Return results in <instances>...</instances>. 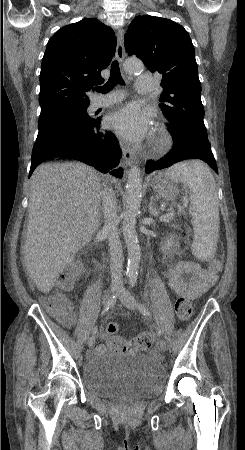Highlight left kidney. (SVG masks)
Returning <instances> with one entry per match:
<instances>
[{
  "label": "left kidney",
  "mask_w": 245,
  "mask_h": 450,
  "mask_svg": "<svg viewBox=\"0 0 245 450\" xmlns=\"http://www.w3.org/2000/svg\"><path fill=\"white\" fill-rule=\"evenodd\" d=\"M173 245L172 238H166L164 245L161 247L162 252L166 255L169 253L170 247Z\"/></svg>",
  "instance_id": "obj_1"
}]
</instances>
